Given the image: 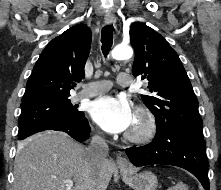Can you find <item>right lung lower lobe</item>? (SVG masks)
<instances>
[{
  "instance_id": "right-lung-lower-lobe-1",
  "label": "right lung lower lobe",
  "mask_w": 221,
  "mask_h": 190,
  "mask_svg": "<svg viewBox=\"0 0 221 190\" xmlns=\"http://www.w3.org/2000/svg\"><path fill=\"white\" fill-rule=\"evenodd\" d=\"M54 131L65 132L68 135H70L72 138H74L75 140H77L79 142H83L89 137L90 126H89L88 120L85 117H83L79 122L74 123L69 126L47 127V128H43L41 130L35 131L33 133L18 137V138H19V140H23V139L27 138L28 136H31L35 133L54 132Z\"/></svg>"
}]
</instances>
